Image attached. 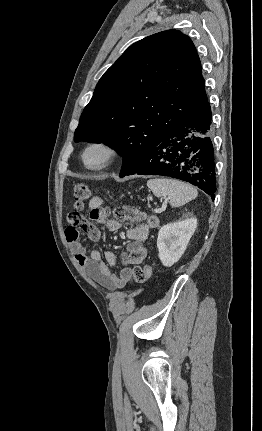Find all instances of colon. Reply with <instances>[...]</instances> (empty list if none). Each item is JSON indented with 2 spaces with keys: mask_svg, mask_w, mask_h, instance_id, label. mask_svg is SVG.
I'll return each instance as SVG.
<instances>
[{
  "mask_svg": "<svg viewBox=\"0 0 262 431\" xmlns=\"http://www.w3.org/2000/svg\"><path fill=\"white\" fill-rule=\"evenodd\" d=\"M91 197L90 188L85 183H78L73 189V200L75 211L71 212L68 219L76 224L80 219V211L84 210L87 202ZM154 273V267L150 263L138 265L134 268L132 280L138 284H144L152 277Z\"/></svg>",
  "mask_w": 262,
  "mask_h": 431,
  "instance_id": "obj_1",
  "label": "colon"
}]
</instances>
